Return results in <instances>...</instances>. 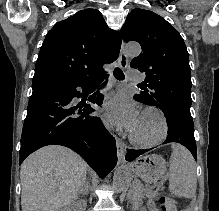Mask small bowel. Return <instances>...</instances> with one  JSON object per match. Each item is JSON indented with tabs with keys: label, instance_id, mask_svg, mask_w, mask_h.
Wrapping results in <instances>:
<instances>
[{
	"label": "small bowel",
	"instance_id": "1",
	"mask_svg": "<svg viewBox=\"0 0 219 211\" xmlns=\"http://www.w3.org/2000/svg\"><path fill=\"white\" fill-rule=\"evenodd\" d=\"M150 209L151 211H157L153 204H150ZM185 211H190V210H185Z\"/></svg>",
	"mask_w": 219,
	"mask_h": 211
}]
</instances>
